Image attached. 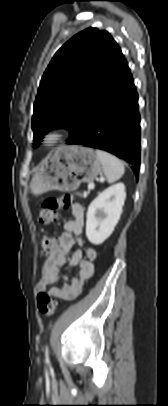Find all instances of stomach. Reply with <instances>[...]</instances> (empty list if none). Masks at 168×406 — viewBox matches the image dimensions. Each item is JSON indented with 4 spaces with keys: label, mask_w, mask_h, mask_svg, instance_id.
<instances>
[{
    "label": "stomach",
    "mask_w": 168,
    "mask_h": 406,
    "mask_svg": "<svg viewBox=\"0 0 168 406\" xmlns=\"http://www.w3.org/2000/svg\"><path fill=\"white\" fill-rule=\"evenodd\" d=\"M96 152L78 145L59 147L41 166L30 182V190L38 195L50 190L70 192L82 182H92L102 173Z\"/></svg>",
    "instance_id": "0dacf381"
}]
</instances>
